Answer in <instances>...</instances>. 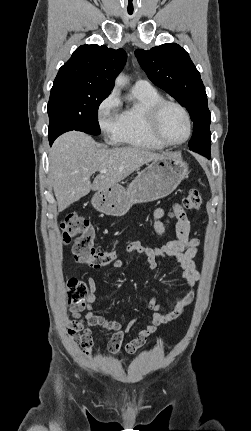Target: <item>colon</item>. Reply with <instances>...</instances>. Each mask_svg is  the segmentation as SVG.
<instances>
[{"label":"colon","instance_id":"colon-1","mask_svg":"<svg viewBox=\"0 0 251 431\" xmlns=\"http://www.w3.org/2000/svg\"><path fill=\"white\" fill-rule=\"evenodd\" d=\"M202 199L200 192L190 189L183 199V206L188 210H198ZM62 239L65 244L72 243V252L77 262L93 268H100L113 263L116 253L109 250H98L95 246L96 232L92 223L76 213L68 214L61 224ZM88 295L86 284L76 278L67 281V300L73 306L83 305Z\"/></svg>","mask_w":251,"mask_h":431}]
</instances>
